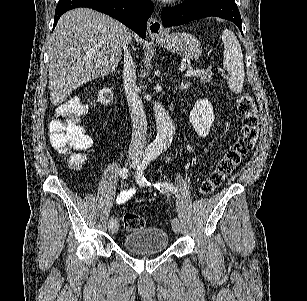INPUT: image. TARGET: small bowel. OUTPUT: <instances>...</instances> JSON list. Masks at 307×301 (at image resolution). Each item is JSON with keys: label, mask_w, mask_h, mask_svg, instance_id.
<instances>
[{"label": "small bowel", "mask_w": 307, "mask_h": 301, "mask_svg": "<svg viewBox=\"0 0 307 301\" xmlns=\"http://www.w3.org/2000/svg\"><path fill=\"white\" fill-rule=\"evenodd\" d=\"M136 193V188L135 187H131V188H127L124 189L116 198V203L117 204H123L125 202H127L130 198L133 197V195Z\"/></svg>", "instance_id": "obj_1"}]
</instances>
